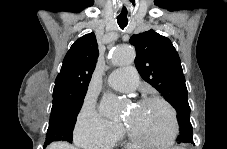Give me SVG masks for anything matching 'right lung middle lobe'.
<instances>
[{"mask_svg":"<svg viewBox=\"0 0 227 149\" xmlns=\"http://www.w3.org/2000/svg\"><path fill=\"white\" fill-rule=\"evenodd\" d=\"M83 99L84 96L53 99L44 147L54 141L72 142L74 125Z\"/></svg>","mask_w":227,"mask_h":149,"instance_id":"right-lung-middle-lobe-1","label":"right lung middle lobe"}]
</instances>
